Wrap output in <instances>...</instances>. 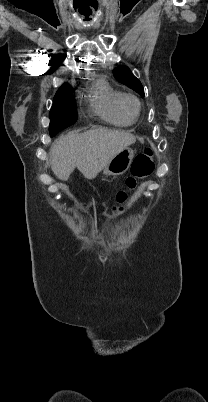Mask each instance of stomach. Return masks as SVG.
<instances>
[{
  "label": "stomach",
  "mask_w": 208,
  "mask_h": 402,
  "mask_svg": "<svg viewBox=\"0 0 208 402\" xmlns=\"http://www.w3.org/2000/svg\"><path fill=\"white\" fill-rule=\"evenodd\" d=\"M133 156L134 152L131 148H124L122 152L113 156L109 164L103 168V174L105 176H121V174H125L131 166Z\"/></svg>",
  "instance_id": "obj_1"
}]
</instances>
